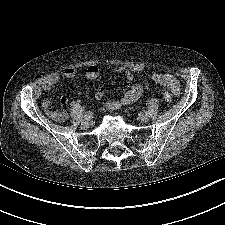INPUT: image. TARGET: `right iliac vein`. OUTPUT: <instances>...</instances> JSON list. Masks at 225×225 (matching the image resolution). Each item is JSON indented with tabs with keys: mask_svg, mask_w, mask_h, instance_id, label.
Wrapping results in <instances>:
<instances>
[{
	"mask_svg": "<svg viewBox=\"0 0 225 225\" xmlns=\"http://www.w3.org/2000/svg\"><path fill=\"white\" fill-rule=\"evenodd\" d=\"M91 125V122L89 120L82 122L81 128L88 129Z\"/></svg>",
	"mask_w": 225,
	"mask_h": 225,
	"instance_id": "right-iliac-vein-1",
	"label": "right iliac vein"
}]
</instances>
